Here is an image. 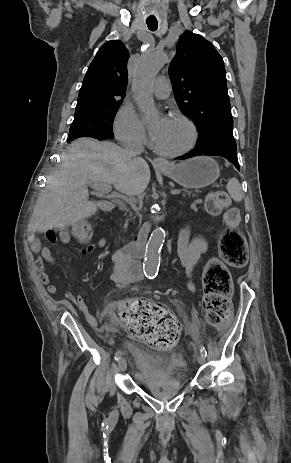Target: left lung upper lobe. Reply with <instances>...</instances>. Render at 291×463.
<instances>
[{"instance_id":"left-lung-upper-lobe-1","label":"left lung upper lobe","mask_w":291,"mask_h":463,"mask_svg":"<svg viewBox=\"0 0 291 463\" xmlns=\"http://www.w3.org/2000/svg\"><path fill=\"white\" fill-rule=\"evenodd\" d=\"M169 74L177 104L197 126V144L236 149L224 62L213 44L186 31Z\"/></svg>"}]
</instances>
